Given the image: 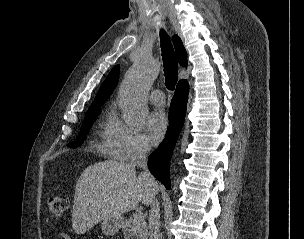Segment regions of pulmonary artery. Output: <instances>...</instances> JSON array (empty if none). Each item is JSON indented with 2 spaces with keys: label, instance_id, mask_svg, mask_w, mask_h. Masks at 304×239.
Segmentation results:
<instances>
[{
  "label": "pulmonary artery",
  "instance_id": "1",
  "mask_svg": "<svg viewBox=\"0 0 304 239\" xmlns=\"http://www.w3.org/2000/svg\"><path fill=\"white\" fill-rule=\"evenodd\" d=\"M149 99L156 106H163L166 102L165 95L161 90H153L150 93Z\"/></svg>",
  "mask_w": 304,
  "mask_h": 239
}]
</instances>
